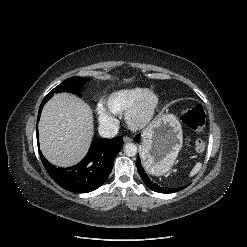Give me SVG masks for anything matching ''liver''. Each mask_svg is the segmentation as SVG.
<instances>
[{
	"label": "liver",
	"mask_w": 247,
	"mask_h": 247,
	"mask_svg": "<svg viewBox=\"0 0 247 247\" xmlns=\"http://www.w3.org/2000/svg\"><path fill=\"white\" fill-rule=\"evenodd\" d=\"M93 128L92 111L86 103L71 94H56L41 114L40 149L53 165H75L88 151Z\"/></svg>",
	"instance_id": "6515ba94"
}]
</instances>
